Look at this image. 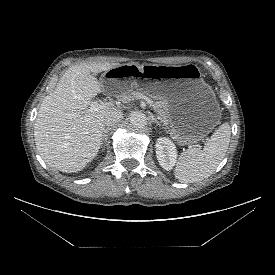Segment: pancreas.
Listing matches in <instances>:
<instances>
[{
    "label": "pancreas",
    "mask_w": 275,
    "mask_h": 275,
    "mask_svg": "<svg viewBox=\"0 0 275 275\" xmlns=\"http://www.w3.org/2000/svg\"><path fill=\"white\" fill-rule=\"evenodd\" d=\"M145 95L138 91H130L129 93L122 95L121 100L123 102H130L138 97H144ZM150 105L152 106L153 110L156 112L158 119L164 123H168V103L164 99H157L156 101L151 100Z\"/></svg>",
    "instance_id": "1"
}]
</instances>
